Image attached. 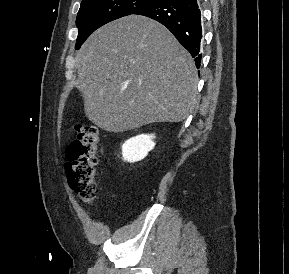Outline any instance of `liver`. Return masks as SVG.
Here are the masks:
<instances>
[{"mask_svg":"<svg viewBox=\"0 0 289 274\" xmlns=\"http://www.w3.org/2000/svg\"><path fill=\"white\" fill-rule=\"evenodd\" d=\"M86 117L108 132L181 122L196 104L190 53L160 23L130 15L96 30L76 55Z\"/></svg>","mask_w":289,"mask_h":274,"instance_id":"6515ba94","label":"liver"}]
</instances>
